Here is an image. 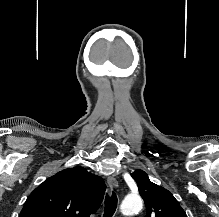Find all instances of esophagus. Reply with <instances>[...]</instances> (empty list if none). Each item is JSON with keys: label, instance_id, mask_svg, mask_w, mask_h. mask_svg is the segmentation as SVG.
<instances>
[{"label": "esophagus", "instance_id": "obj_1", "mask_svg": "<svg viewBox=\"0 0 219 217\" xmlns=\"http://www.w3.org/2000/svg\"><path fill=\"white\" fill-rule=\"evenodd\" d=\"M107 185L110 190H113L118 186V181L114 176H109L107 179Z\"/></svg>", "mask_w": 219, "mask_h": 217}]
</instances>
